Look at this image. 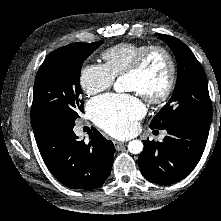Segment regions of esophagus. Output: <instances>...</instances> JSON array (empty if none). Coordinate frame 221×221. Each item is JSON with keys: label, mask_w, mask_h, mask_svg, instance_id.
<instances>
[{"label": "esophagus", "mask_w": 221, "mask_h": 221, "mask_svg": "<svg viewBox=\"0 0 221 221\" xmlns=\"http://www.w3.org/2000/svg\"><path fill=\"white\" fill-rule=\"evenodd\" d=\"M115 148L118 150L121 146L124 145L123 142L120 141H113Z\"/></svg>", "instance_id": "1"}]
</instances>
